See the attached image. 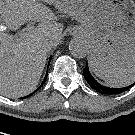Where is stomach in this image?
<instances>
[{"label": "stomach", "instance_id": "1", "mask_svg": "<svg viewBox=\"0 0 135 135\" xmlns=\"http://www.w3.org/2000/svg\"><path fill=\"white\" fill-rule=\"evenodd\" d=\"M80 22L74 31L89 45L94 71L110 73L135 63L133 0H42Z\"/></svg>", "mask_w": 135, "mask_h": 135}]
</instances>
